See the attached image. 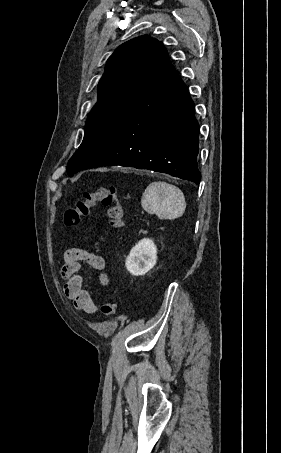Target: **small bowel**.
Returning a JSON list of instances; mask_svg holds the SVG:
<instances>
[{"mask_svg":"<svg viewBox=\"0 0 281 453\" xmlns=\"http://www.w3.org/2000/svg\"><path fill=\"white\" fill-rule=\"evenodd\" d=\"M83 264H88L97 270H103L106 266L101 255L80 249L67 250L64 253V263L61 268V274L64 278L63 291L65 296L73 302L76 309L94 315L97 312V306L83 290L79 277V271ZM108 283V276L104 272L97 274L96 285L105 288Z\"/></svg>","mask_w":281,"mask_h":453,"instance_id":"c3829d8e","label":"small bowel"}]
</instances>
